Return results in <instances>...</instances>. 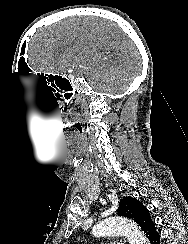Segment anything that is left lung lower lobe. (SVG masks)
Segmentation results:
<instances>
[{
  "mask_svg": "<svg viewBox=\"0 0 188 244\" xmlns=\"http://www.w3.org/2000/svg\"><path fill=\"white\" fill-rule=\"evenodd\" d=\"M141 229L151 244H160V235L157 232L149 213L144 216L141 223Z\"/></svg>",
  "mask_w": 188,
  "mask_h": 244,
  "instance_id": "left-lung-lower-lobe-1",
  "label": "left lung lower lobe"
}]
</instances>
